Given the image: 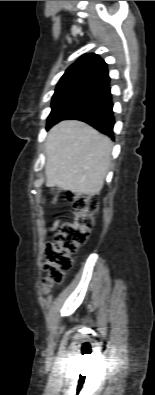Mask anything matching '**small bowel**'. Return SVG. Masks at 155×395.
I'll return each mask as SVG.
<instances>
[{
    "mask_svg": "<svg viewBox=\"0 0 155 395\" xmlns=\"http://www.w3.org/2000/svg\"><path fill=\"white\" fill-rule=\"evenodd\" d=\"M58 226V222H55L53 226L50 228V231H54Z\"/></svg>",
    "mask_w": 155,
    "mask_h": 395,
    "instance_id": "1",
    "label": "small bowel"
}]
</instances>
